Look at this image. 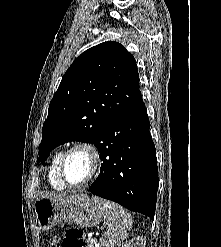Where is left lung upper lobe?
Returning <instances> with one entry per match:
<instances>
[{"label": "left lung upper lobe", "instance_id": "5c2ea615", "mask_svg": "<svg viewBox=\"0 0 221 247\" xmlns=\"http://www.w3.org/2000/svg\"><path fill=\"white\" fill-rule=\"evenodd\" d=\"M144 105L136 61L118 42L83 52L64 74L42 128L39 159L71 141L94 144L100 151L104 128L117 116Z\"/></svg>", "mask_w": 221, "mask_h": 247}]
</instances>
